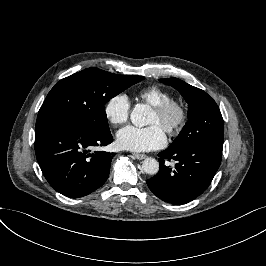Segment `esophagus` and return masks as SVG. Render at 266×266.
I'll return each mask as SVG.
<instances>
[{"mask_svg":"<svg viewBox=\"0 0 266 266\" xmlns=\"http://www.w3.org/2000/svg\"><path fill=\"white\" fill-rule=\"evenodd\" d=\"M133 156L138 160H143L146 158L145 154H133Z\"/></svg>","mask_w":266,"mask_h":266,"instance_id":"34e87169","label":"esophagus"}]
</instances>
